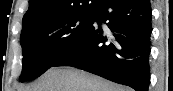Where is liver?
I'll list each match as a JSON object with an SVG mask.
<instances>
[{
    "label": "liver",
    "instance_id": "obj_1",
    "mask_svg": "<svg viewBox=\"0 0 173 91\" xmlns=\"http://www.w3.org/2000/svg\"><path fill=\"white\" fill-rule=\"evenodd\" d=\"M22 91H131L73 67H52Z\"/></svg>",
    "mask_w": 173,
    "mask_h": 91
}]
</instances>
